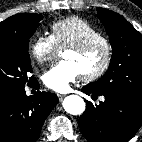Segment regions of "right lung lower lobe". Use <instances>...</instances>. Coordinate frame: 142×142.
<instances>
[{"instance_id": "obj_1", "label": "right lung lower lobe", "mask_w": 142, "mask_h": 142, "mask_svg": "<svg viewBox=\"0 0 142 142\" xmlns=\"http://www.w3.org/2000/svg\"><path fill=\"white\" fill-rule=\"evenodd\" d=\"M32 86L39 88V83ZM57 103V95L49 92L27 96L22 89L9 95L0 103V142H36Z\"/></svg>"}]
</instances>
